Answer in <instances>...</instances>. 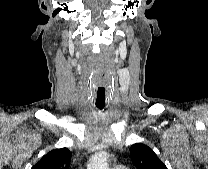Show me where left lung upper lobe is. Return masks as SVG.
Instances as JSON below:
<instances>
[{"label": "left lung upper lobe", "instance_id": "left-lung-upper-lobe-1", "mask_svg": "<svg viewBox=\"0 0 208 169\" xmlns=\"http://www.w3.org/2000/svg\"><path fill=\"white\" fill-rule=\"evenodd\" d=\"M131 158L137 169H167L147 145L136 143L130 147Z\"/></svg>", "mask_w": 208, "mask_h": 169}]
</instances>
